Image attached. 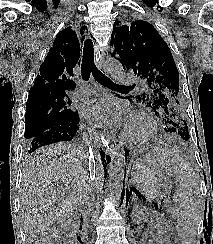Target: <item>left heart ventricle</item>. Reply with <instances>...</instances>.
<instances>
[{"label": "left heart ventricle", "mask_w": 213, "mask_h": 244, "mask_svg": "<svg viewBox=\"0 0 213 244\" xmlns=\"http://www.w3.org/2000/svg\"><path fill=\"white\" fill-rule=\"evenodd\" d=\"M145 129V125L140 120H132L131 124L128 126L127 131L130 134L138 135L141 134Z\"/></svg>", "instance_id": "b2bd125f"}]
</instances>
